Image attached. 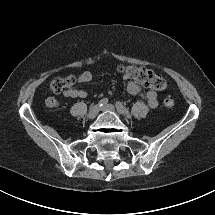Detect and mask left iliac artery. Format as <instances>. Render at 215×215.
<instances>
[{"mask_svg":"<svg viewBox=\"0 0 215 215\" xmlns=\"http://www.w3.org/2000/svg\"><path fill=\"white\" fill-rule=\"evenodd\" d=\"M116 108L120 110L123 114H129V109L126 108L121 102H116Z\"/></svg>","mask_w":215,"mask_h":215,"instance_id":"1","label":"left iliac artery"}]
</instances>
